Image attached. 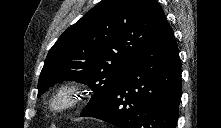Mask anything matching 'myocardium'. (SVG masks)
<instances>
[{"label": "myocardium", "instance_id": "obj_1", "mask_svg": "<svg viewBox=\"0 0 221 128\" xmlns=\"http://www.w3.org/2000/svg\"><path fill=\"white\" fill-rule=\"evenodd\" d=\"M79 87L73 84L61 85L50 99L49 108L54 112H63L73 108L79 97Z\"/></svg>", "mask_w": 221, "mask_h": 128}]
</instances>
